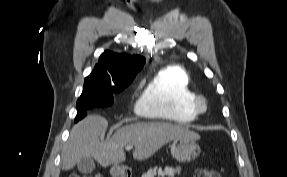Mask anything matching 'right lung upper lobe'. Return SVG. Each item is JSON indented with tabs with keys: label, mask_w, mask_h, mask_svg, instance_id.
Instances as JSON below:
<instances>
[{
	"label": "right lung upper lobe",
	"mask_w": 287,
	"mask_h": 177,
	"mask_svg": "<svg viewBox=\"0 0 287 177\" xmlns=\"http://www.w3.org/2000/svg\"><path fill=\"white\" fill-rule=\"evenodd\" d=\"M144 63L145 58L139 55L130 56L105 51L87 78L104 86L133 81Z\"/></svg>",
	"instance_id": "1"
}]
</instances>
